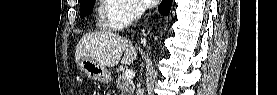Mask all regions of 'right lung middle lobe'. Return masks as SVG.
<instances>
[{"label":"right lung middle lobe","mask_w":277,"mask_h":95,"mask_svg":"<svg viewBox=\"0 0 277 95\" xmlns=\"http://www.w3.org/2000/svg\"><path fill=\"white\" fill-rule=\"evenodd\" d=\"M95 0H84L80 2V17L83 18L92 12Z\"/></svg>","instance_id":"1"}]
</instances>
